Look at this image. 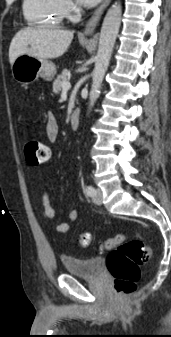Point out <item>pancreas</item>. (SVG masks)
Returning <instances> with one entry per match:
<instances>
[{"instance_id":"cf45deb5","label":"pancreas","mask_w":171,"mask_h":337,"mask_svg":"<svg viewBox=\"0 0 171 337\" xmlns=\"http://www.w3.org/2000/svg\"><path fill=\"white\" fill-rule=\"evenodd\" d=\"M69 79V71L64 69L60 75L57 76L53 82V92L59 94L62 89V84Z\"/></svg>"}]
</instances>
